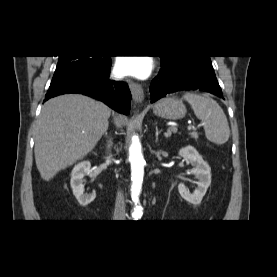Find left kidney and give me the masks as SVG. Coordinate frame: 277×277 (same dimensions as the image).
Listing matches in <instances>:
<instances>
[{"label":"left kidney","instance_id":"1","mask_svg":"<svg viewBox=\"0 0 277 277\" xmlns=\"http://www.w3.org/2000/svg\"><path fill=\"white\" fill-rule=\"evenodd\" d=\"M178 154L184 158L187 164H191L194 167L190 172L198 180L196 182L197 189L193 193H190L183 183L178 185V191L187 202L198 205L201 203L203 196L211 184V168L192 146L181 148Z\"/></svg>","mask_w":277,"mask_h":277}]
</instances>
